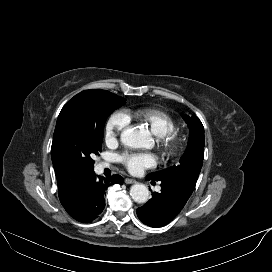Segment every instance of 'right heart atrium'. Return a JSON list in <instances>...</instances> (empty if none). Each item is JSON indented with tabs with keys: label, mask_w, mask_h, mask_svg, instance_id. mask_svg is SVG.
<instances>
[{
	"label": "right heart atrium",
	"mask_w": 272,
	"mask_h": 272,
	"mask_svg": "<svg viewBox=\"0 0 272 272\" xmlns=\"http://www.w3.org/2000/svg\"><path fill=\"white\" fill-rule=\"evenodd\" d=\"M130 121L125 111H115L105 124L104 139L106 143H115L120 134L129 126Z\"/></svg>",
	"instance_id": "1"
}]
</instances>
